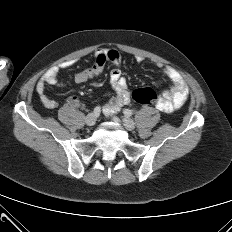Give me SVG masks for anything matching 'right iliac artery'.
Listing matches in <instances>:
<instances>
[{
  "label": "right iliac artery",
  "instance_id": "1",
  "mask_svg": "<svg viewBox=\"0 0 232 232\" xmlns=\"http://www.w3.org/2000/svg\"><path fill=\"white\" fill-rule=\"evenodd\" d=\"M101 108L99 106L94 108L93 114L97 117L100 115Z\"/></svg>",
  "mask_w": 232,
  "mask_h": 232
}]
</instances>
